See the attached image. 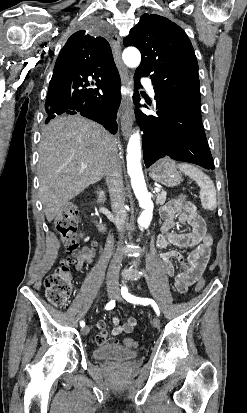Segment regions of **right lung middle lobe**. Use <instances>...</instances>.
Returning a JSON list of instances; mask_svg holds the SVG:
<instances>
[{
	"mask_svg": "<svg viewBox=\"0 0 247 413\" xmlns=\"http://www.w3.org/2000/svg\"><path fill=\"white\" fill-rule=\"evenodd\" d=\"M68 90L66 88L57 87L49 84V90L46 99H59L67 94Z\"/></svg>",
	"mask_w": 247,
	"mask_h": 413,
	"instance_id": "1",
	"label": "right lung middle lobe"
}]
</instances>
